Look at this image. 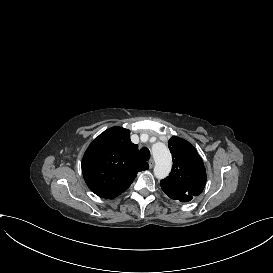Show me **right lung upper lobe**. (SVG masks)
Masks as SVG:
<instances>
[{
  "mask_svg": "<svg viewBox=\"0 0 273 273\" xmlns=\"http://www.w3.org/2000/svg\"><path fill=\"white\" fill-rule=\"evenodd\" d=\"M149 165L138 156V145L130 140V131L112 127L100 134L86 150L82 173L96 195L115 198L131 185L137 173Z\"/></svg>",
  "mask_w": 273,
  "mask_h": 273,
  "instance_id": "1",
  "label": "right lung upper lobe"
}]
</instances>
